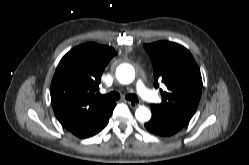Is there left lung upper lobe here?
Returning a JSON list of instances; mask_svg holds the SVG:
<instances>
[{
	"label": "left lung upper lobe",
	"instance_id": "5c2ea615",
	"mask_svg": "<svg viewBox=\"0 0 249 165\" xmlns=\"http://www.w3.org/2000/svg\"><path fill=\"white\" fill-rule=\"evenodd\" d=\"M152 64L155 83L162 82L166 88L160 90L161 108L190 118L196 112L202 91V78L191 53L183 46L159 41L144 45Z\"/></svg>",
	"mask_w": 249,
	"mask_h": 165
}]
</instances>
